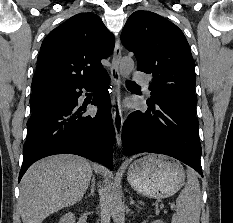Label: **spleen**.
<instances>
[{
    "label": "spleen",
    "instance_id": "3e777b00",
    "mask_svg": "<svg viewBox=\"0 0 233 223\" xmlns=\"http://www.w3.org/2000/svg\"><path fill=\"white\" fill-rule=\"evenodd\" d=\"M200 183L195 171H188V181L176 199L171 223H200Z\"/></svg>",
    "mask_w": 233,
    "mask_h": 223
}]
</instances>
